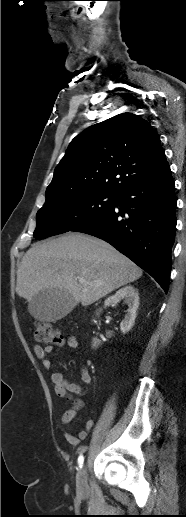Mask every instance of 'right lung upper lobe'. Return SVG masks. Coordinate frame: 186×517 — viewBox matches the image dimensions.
<instances>
[{
    "label": "right lung upper lobe",
    "mask_w": 186,
    "mask_h": 517,
    "mask_svg": "<svg viewBox=\"0 0 186 517\" xmlns=\"http://www.w3.org/2000/svg\"><path fill=\"white\" fill-rule=\"evenodd\" d=\"M167 168L151 125L137 115L122 113L72 140L47 187L46 201L81 192L119 195Z\"/></svg>",
    "instance_id": "cb5924a9"
}]
</instances>
